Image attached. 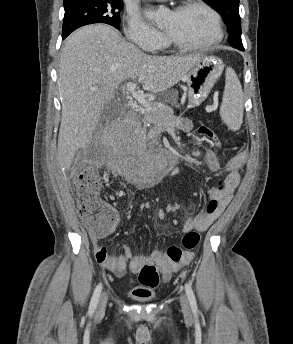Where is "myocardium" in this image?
Masks as SVG:
<instances>
[{"mask_svg": "<svg viewBox=\"0 0 293 344\" xmlns=\"http://www.w3.org/2000/svg\"><path fill=\"white\" fill-rule=\"evenodd\" d=\"M191 8H201L208 12L210 16L213 19L214 22V28H215V34L213 38L202 44H189L184 41H181L174 36L170 35L167 32H164V36L166 41L169 45L175 47L176 49L182 50V51H206L209 49L214 48L216 45H218L223 37H224V29H223V23L220 14L216 9H214L211 5L207 4L206 2L202 0H189L178 7H176L173 12L174 13H181L186 10H189Z\"/></svg>", "mask_w": 293, "mask_h": 344, "instance_id": "obj_1", "label": "myocardium"}]
</instances>
